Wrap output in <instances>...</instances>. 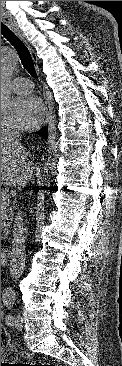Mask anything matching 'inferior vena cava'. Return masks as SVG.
Listing matches in <instances>:
<instances>
[{
	"label": "inferior vena cava",
	"instance_id": "inferior-vena-cava-1",
	"mask_svg": "<svg viewBox=\"0 0 122 366\" xmlns=\"http://www.w3.org/2000/svg\"><path fill=\"white\" fill-rule=\"evenodd\" d=\"M4 137L7 139V143L9 146L15 147L23 155L26 154L25 148L19 141V133L17 131H5ZM24 233L25 228L23 223V212L19 210L17 215L15 216L13 224V239L10 253V271L13 277L17 274V270L15 269L17 267V263L23 262L26 256Z\"/></svg>",
	"mask_w": 122,
	"mask_h": 366
}]
</instances>
